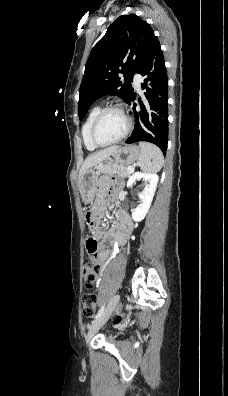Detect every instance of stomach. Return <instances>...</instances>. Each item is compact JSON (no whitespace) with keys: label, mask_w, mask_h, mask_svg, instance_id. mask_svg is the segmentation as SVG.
<instances>
[{"label":"stomach","mask_w":228,"mask_h":396,"mask_svg":"<svg viewBox=\"0 0 228 396\" xmlns=\"http://www.w3.org/2000/svg\"><path fill=\"white\" fill-rule=\"evenodd\" d=\"M141 150L137 145H126L119 147L111 156L116 163L126 166L131 165L140 158ZM109 157L106 159V161ZM103 166L97 168H89L85 170L79 177L78 187L82 201L85 204H89L94 200L96 193V182L100 169Z\"/></svg>","instance_id":"0dacf381"}]
</instances>
